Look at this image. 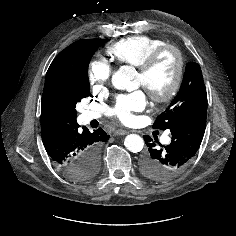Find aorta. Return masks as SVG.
I'll list each match as a JSON object with an SVG mask.
<instances>
[{
  "label": "aorta",
  "mask_w": 236,
  "mask_h": 236,
  "mask_svg": "<svg viewBox=\"0 0 236 236\" xmlns=\"http://www.w3.org/2000/svg\"><path fill=\"white\" fill-rule=\"evenodd\" d=\"M135 77L134 68L130 66L120 67L112 76V84L119 90H130L133 86L132 80ZM125 147L134 153L140 152L144 147L142 137L137 134H130L126 136L124 141Z\"/></svg>",
  "instance_id": "obj_1"
}]
</instances>
